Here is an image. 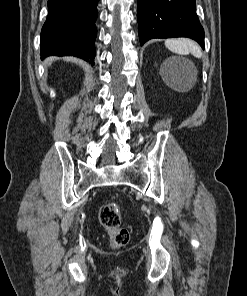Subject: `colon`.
<instances>
[{"label": "colon", "mask_w": 247, "mask_h": 296, "mask_svg": "<svg viewBox=\"0 0 247 296\" xmlns=\"http://www.w3.org/2000/svg\"><path fill=\"white\" fill-rule=\"evenodd\" d=\"M99 221L110 236L111 245L121 248L129 242V230L121 227V213L116 203L110 202L99 209Z\"/></svg>", "instance_id": "5ec220e1"}]
</instances>
